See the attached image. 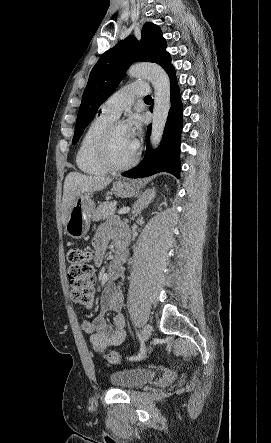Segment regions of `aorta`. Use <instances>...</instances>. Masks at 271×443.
<instances>
[{"label": "aorta", "mask_w": 271, "mask_h": 443, "mask_svg": "<svg viewBox=\"0 0 271 443\" xmlns=\"http://www.w3.org/2000/svg\"><path fill=\"white\" fill-rule=\"evenodd\" d=\"M127 74L131 76V78H147L154 88V108L150 142L152 148H158L171 108L170 80L165 70L157 66V64H133V66H130Z\"/></svg>", "instance_id": "762f6f07"}]
</instances>
